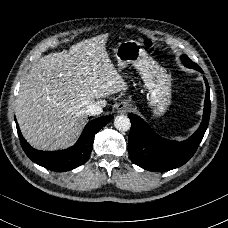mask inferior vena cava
<instances>
[{
    "label": "inferior vena cava",
    "mask_w": 228,
    "mask_h": 228,
    "mask_svg": "<svg viewBox=\"0 0 228 228\" xmlns=\"http://www.w3.org/2000/svg\"><path fill=\"white\" fill-rule=\"evenodd\" d=\"M103 111L102 107L97 103H92L86 107L85 113L89 116H95L101 114Z\"/></svg>",
    "instance_id": "1"
}]
</instances>
